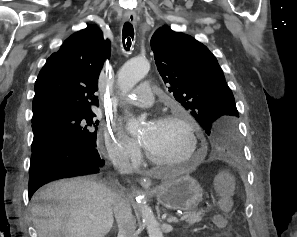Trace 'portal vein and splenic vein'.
Masks as SVG:
<instances>
[{
	"mask_svg": "<svg viewBox=\"0 0 297 237\" xmlns=\"http://www.w3.org/2000/svg\"><path fill=\"white\" fill-rule=\"evenodd\" d=\"M92 219H93V217H91ZM186 219V216H182L181 218H180V220L182 221V220H185Z\"/></svg>",
	"mask_w": 297,
	"mask_h": 237,
	"instance_id": "portal-vein-and-splenic-vein-1",
	"label": "portal vein and splenic vein"
}]
</instances>
